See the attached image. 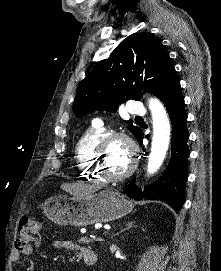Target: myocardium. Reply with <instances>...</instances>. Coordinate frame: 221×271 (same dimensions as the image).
I'll return each instance as SVG.
<instances>
[{
	"instance_id": "myocardium-1",
	"label": "myocardium",
	"mask_w": 221,
	"mask_h": 271,
	"mask_svg": "<svg viewBox=\"0 0 221 271\" xmlns=\"http://www.w3.org/2000/svg\"><path fill=\"white\" fill-rule=\"evenodd\" d=\"M133 138L130 133H109V137H103L100 141V145H97V153L93 156V164L95 173L98 175H103V178H129V175H133V170H138L139 166L137 165L138 158H131V170H124V173H109L107 172V165H103V157L106 155V149L110 147L115 142H122L123 150H129V155H137L138 145H135V142H132Z\"/></svg>"
}]
</instances>
